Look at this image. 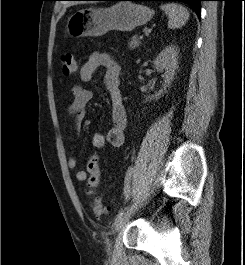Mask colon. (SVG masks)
<instances>
[{
	"label": "colon",
	"mask_w": 245,
	"mask_h": 265,
	"mask_svg": "<svg viewBox=\"0 0 245 265\" xmlns=\"http://www.w3.org/2000/svg\"><path fill=\"white\" fill-rule=\"evenodd\" d=\"M61 63L63 67V72L66 75L74 74L77 71V62L75 57L70 52H65L61 55ZM87 173H88V186L93 193L100 183V170L98 164V158L96 155H91L87 163ZM93 212L96 215H102L107 212L106 207L102 204L100 197L96 196L93 203Z\"/></svg>",
	"instance_id": "5ec220e1"
}]
</instances>
